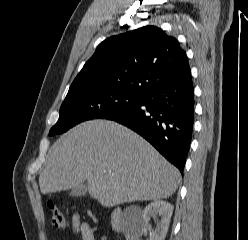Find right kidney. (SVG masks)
<instances>
[{
    "mask_svg": "<svg viewBox=\"0 0 248 240\" xmlns=\"http://www.w3.org/2000/svg\"><path fill=\"white\" fill-rule=\"evenodd\" d=\"M173 205L162 200L150 203L142 212V220L131 226L126 232V240H141V236L149 227L151 217L160 216L155 230L150 231V240H164L169 228L170 219L173 212Z\"/></svg>",
    "mask_w": 248,
    "mask_h": 240,
    "instance_id": "1",
    "label": "right kidney"
}]
</instances>
